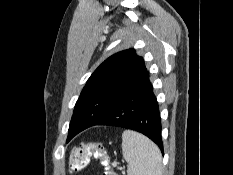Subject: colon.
I'll list each match as a JSON object with an SVG mask.
<instances>
[{
  "label": "colon",
  "instance_id": "colon-1",
  "mask_svg": "<svg viewBox=\"0 0 233 175\" xmlns=\"http://www.w3.org/2000/svg\"><path fill=\"white\" fill-rule=\"evenodd\" d=\"M91 157L99 160L103 168L102 175H119L112 168L107 147L100 141L86 142L73 147L69 155L70 170L72 172L83 170L88 165Z\"/></svg>",
  "mask_w": 233,
  "mask_h": 175
}]
</instances>
